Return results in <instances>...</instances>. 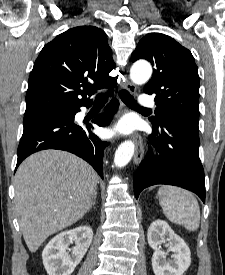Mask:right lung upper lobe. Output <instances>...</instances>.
<instances>
[{"mask_svg": "<svg viewBox=\"0 0 225 275\" xmlns=\"http://www.w3.org/2000/svg\"><path fill=\"white\" fill-rule=\"evenodd\" d=\"M114 68L104 31L94 26L65 31L44 46L34 63L24 116L91 105L87 94L116 85L108 75Z\"/></svg>", "mask_w": 225, "mask_h": 275, "instance_id": "obj_1", "label": "right lung upper lobe"}]
</instances>
